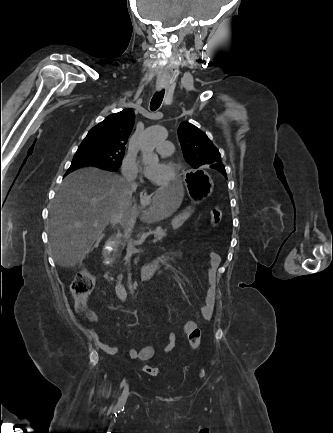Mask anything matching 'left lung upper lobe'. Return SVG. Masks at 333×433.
I'll list each match as a JSON object with an SVG mask.
<instances>
[{
  "mask_svg": "<svg viewBox=\"0 0 333 433\" xmlns=\"http://www.w3.org/2000/svg\"><path fill=\"white\" fill-rule=\"evenodd\" d=\"M178 136L183 155L193 168L206 164L217 165L223 169L220 171L225 176L219 151L204 132L190 123L182 122L178 128Z\"/></svg>",
  "mask_w": 333,
  "mask_h": 433,
  "instance_id": "obj_1",
  "label": "left lung upper lobe"
}]
</instances>
